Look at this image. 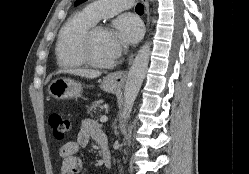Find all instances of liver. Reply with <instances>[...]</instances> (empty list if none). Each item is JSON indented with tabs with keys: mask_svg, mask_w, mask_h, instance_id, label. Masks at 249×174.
<instances>
[{
	"mask_svg": "<svg viewBox=\"0 0 249 174\" xmlns=\"http://www.w3.org/2000/svg\"><path fill=\"white\" fill-rule=\"evenodd\" d=\"M60 73H68L71 75H76L87 79H95L101 75L100 71L88 70V69H67V70H60L57 72V74Z\"/></svg>",
	"mask_w": 249,
	"mask_h": 174,
	"instance_id": "liver-1",
	"label": "liver"
}]
</instances>
